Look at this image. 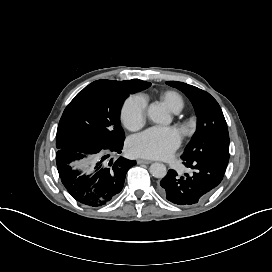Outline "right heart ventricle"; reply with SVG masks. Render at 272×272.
<instances>
[{"label": "right heart ventricle", "mask_w": 272, "mask_h": 272, "mask_svg": "<svg viewBox=\"0 0 272 272\" xmlns=\"http://www.w3.org/2000/svg\"><path fill=\"white\" fill-rule=\"evenodd\" d=\"M163 100L173 111H179L183 106L182 98L175 92L169 91L163 95Z\"/></svg>", "instance_id": "e07e8e85"}]
</instances>
